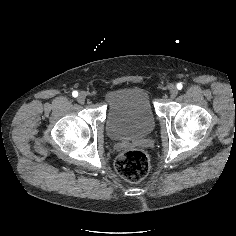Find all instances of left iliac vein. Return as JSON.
<instances>
[{
  "label": "left iliac vein",
  "instance_id": "left-iliac-vein-1",
  "mask_svg": "<svg viewBox=\"0 0 236 236\" xmlns=\"http://www.w3.org/2000/svg\"><path fill=\"white\" fill-rule=\"evenodd\" d=\"M169 94L172 98L176 97L178 94V90L174 85H169L168 86Z\"/></svg>",
  "mask_w": 236,
  "mask_h": 236
}]
</instances>
